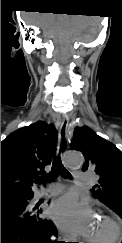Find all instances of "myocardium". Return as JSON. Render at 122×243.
I'll return each mask as SVG.
<instances>
[{
    "instance_id": "obj_1",
    "label": "myocardium",
    "mask_w": 122,
    "mask_h": 243,
    "mask_svg": "<svg viewBox=\"0 0 122 243\" xmlns=\"http://www.w3.org/2000/svg\"><path fill=\"white\" fill-rule=\"evenodd\" d=\"M100 219L105 222L107 230L99 237H89L90 243H114L120 235L119 223L109 215H101Z\"/></svg>"
}]
</instances>
